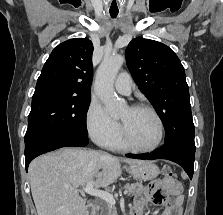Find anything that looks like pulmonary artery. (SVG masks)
Instances as JSON below:
<instances>
[{
  "instance_id": "obj_1",
  "label": "pulmonary artery",
  "mask_w": 223,
  "mask_h": 215,
  "mask_svg": "<svg viewBox=\"0 0 223 215\" xmlns=\"http://www.w3.org/2000/svg\"><path fill=\"white\" fill-rule=\"evenodd\" d=\"M115 89L122 94H129L132 88V79L128 74H120L114 81Z\"/></svg>"
}]
</instances>
